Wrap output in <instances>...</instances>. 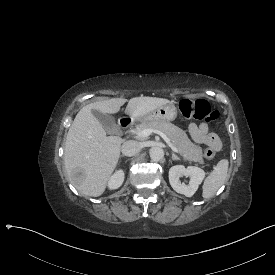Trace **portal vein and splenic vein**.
<instances>
[{
  "label": "portal vein and splenic vein",
  "mask_w": 275,
  "mask_h": 275,
  "mask_svg": "<svg viewBox=\"0 0 275 275\" xmlns=\"http://www.w3.org/2000/svg\"><path fill=\"white\" fill-rule=\"evenodd\" d=\"M151 133H156L158 135H160L163 140L167 143V145L174 151V152H178L177 148L173 146L172 142L170 141V139L167 137V135L163 132H161L160 130L157 129H144L143 131L138 133V136L140 137H147L149 136Z\"/></svg>",
  "instance_id": "1"
}]
</instances>
